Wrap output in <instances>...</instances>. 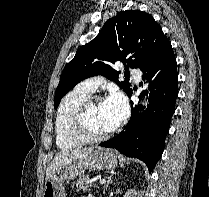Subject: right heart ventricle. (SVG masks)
<instances>
[{"instance_id": "obj_1", "label": "right heart ventricle", "mask_w": 209, "mask_h": 197, "mask_svg": "<svg viewBox=\"0 0 209 197\" xmlns=\"http://www.w3.org/2000/svg\"><path fill=\"white\" fill-rule=\"evenodd\" d=\"M91 92L87 89L77 86L70 91L61 101L55 118V136L56 144L62 150H68L80 145L73 140L68 132L69 118L72 112L90 96Z\"/></svg>"}]
</instances>
